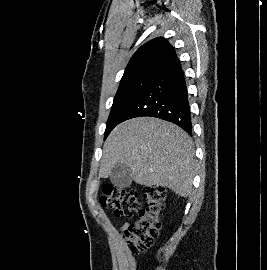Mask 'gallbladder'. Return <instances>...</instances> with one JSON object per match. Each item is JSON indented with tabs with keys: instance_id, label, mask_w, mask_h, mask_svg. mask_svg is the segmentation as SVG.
Wrapping results in <instances>:
<instances>
[{
	"instance_id": "gallbladder-1",
	"label": "gallbladder",
	"mask_w": 267,
	"mask_h": 270,
	"mask_svg": "<svg viewBox=\"0 0 267 270\" xmlns=\"http://www.w3.org/2000/svg\"><path fill=\"white\" fill-rule=\"evenodd\" d=\"M110 180L118 188L129 187L132 183L131 169L124 164L117 163L110 174Z\"/></svg>"
}]
</instances>
